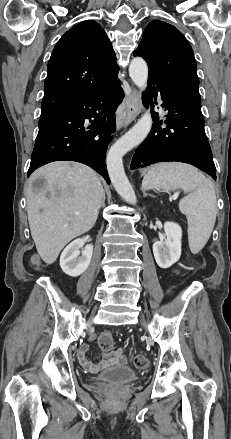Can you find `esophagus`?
Returning <instances> with one entry per match:
<instances>
[{"label":"esophagus","instance_id":"esophagus-1","mask_svg":"<svg viewBox=\"0 0 231 439\" xmlns=\"http://www.w3.org/2000/svg\"><path fill=\"white\" fill-rule=\"evenodd\" d=\"M141 109V96L140 93L133 89L130 96L126 99V118L124 126H127L136 119Z\"/></svg>","mask_w":231,"mask_h":439}]
</instances>
